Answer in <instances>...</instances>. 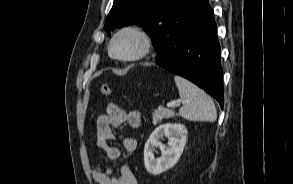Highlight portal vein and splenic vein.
<instances>
[{"mask_svg": "<svg viewBox=\"0 0 293 184\" xmlns=\"http://www.w3.org/2000/svg\"><path fill=\"white\" fill-rule=\"evenodd\" d=\"M185 104V101L177 100L167 103L168 108H175L176 106H179L180 104Z\"/></svg>", "mask_w": 293, "mask_h": 184, "instance_id": "18ae733b", "label": "portal vein and splenic vein"}]
</instances>
